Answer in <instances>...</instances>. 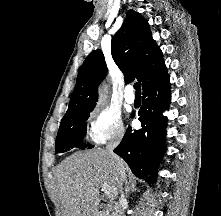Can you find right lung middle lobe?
Here are the masks:
<instances>
[{"label": "right lung middle lobe", "mask_w": 221, "mask_h": 216, "mask_svg": "<svg viewBox=\"0 0 221 216\" xmlns=\"http://www.w3.org/2000/svg\"><path fill=\"white\" fill-rule=\"evenodd\" d=\"M92 109L62 119L55 141L57 153L66 152L73 147L81 149L93 147L82 143L83 135L86 132V121Z\"/></svg>", "instance_id": "obj_1"}]
</instances>
